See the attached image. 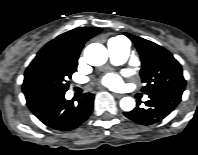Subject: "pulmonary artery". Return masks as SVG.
Returning <instances> with one entry per match:
<instances>
[{"instance_id": "e3ab8cb5", "label": "pulmonary artery", "mask_w": 198, "mask_h": 155, "mask_svg": "<svg viewBox=\"0 0 198 155\" xmlns=\"http://www.w3.org/2000/svg\"><path fill=\"white\" fill-rule=\"evenodd\" d=\"M108 50L111 60L116 64H122L129 56L130 43L123 37H115L109 40ZM144 100H147V97Z\"/></svg>"}]
</instances>
